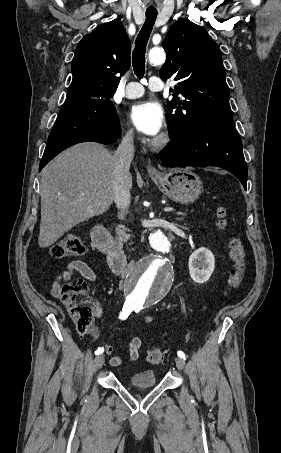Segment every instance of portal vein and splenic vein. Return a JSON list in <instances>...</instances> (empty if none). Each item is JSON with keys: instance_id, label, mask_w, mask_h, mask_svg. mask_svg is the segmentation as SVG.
I'll use <instances>...</instances> for the list:
<instances>
[{"instance_id": "portal-vein-and-splenic-vein-1", "label": "portal vein and splenic vein", "mask_w": 281, "mask_h": 453, "mask_svg": "<svg viewBox=\"0 0 281 453\" xmlns=\"http://www.w3.org/2000/svg\"><path fill=\"white\" fill-rule=\"evenodd\" d=\"M163 209H164V212H169V213L174 212V207H171V206H169V207H164ZM175 210H176V209H175Z\"/></svg>"}]
</instances>
